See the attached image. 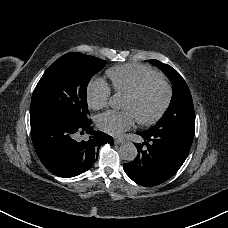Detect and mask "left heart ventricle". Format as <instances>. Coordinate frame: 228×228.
<instances>
[{"mask_svg": "<svg viewBox=\"0 0 228 228\" xmlns=\"http://www.w3.org/2000/svg\"><path fill=\"white\" fill-rule=\"evenodd\" d=\"M164 96V88L155 86L149 93L138 99L125 98L123 106L138 119H148L158 110Z\"/></svg>", "mask_w": 228, "mask_h": 228, "instance_id": "obj_1", "label": "left heart ventricle"}]
</instances>
